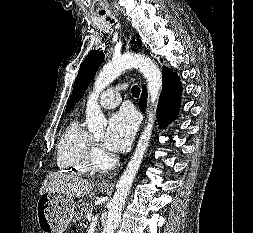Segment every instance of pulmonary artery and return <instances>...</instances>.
<instances>
[{"label": "pulmonary artery", "mask_w": 253, "mask_h": 233, "mask_svg": "<svg viewBox=\"0 0 253 233\" xmlns=\"http://www.w3.org/2000/svg\"><path fill=\"white\" fill-rule=\"evenodd\" d=\"M122 88L112 87L105 90L99 97V103L104 108H114L122 100L121 96Z\"/></svg>", "instance_id": "e3ab8cb5"}]
</instances>
